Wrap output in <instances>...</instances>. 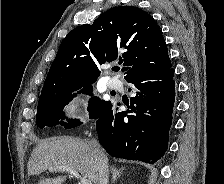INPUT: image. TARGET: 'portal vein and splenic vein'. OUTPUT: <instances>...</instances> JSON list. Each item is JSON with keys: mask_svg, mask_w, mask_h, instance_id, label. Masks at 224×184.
<instances>
[{"mask_svg": "<svg viewBox=\"0 0 224 184\" xmlns=\"http://www.w3.org/2000/svg\"><path fill=\"white\" fill-rule=\"evenodd\" d=\"M49 171H63V172H67L70 173L72 176L80 179V183L79 184H92V182L90 180H87L84 177H81L78 173V171L72 169V168H68V167H50L48 169Z\"/></svg>", "mask_w": 224, "mask_h": 184, "instance_id": "portal-vein-and-splenic-vein-1", "label": "portal vein and splenic vein"}]
</instances>
